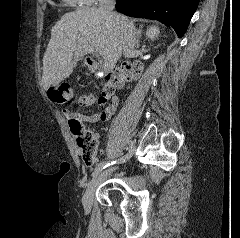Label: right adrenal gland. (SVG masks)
<instances>
[{"instance_id": "obj_1", "label": "right adrenal gland", "mask_w": 240, "mask_h": 238, "mask_svg": "<svg viewBox=\"0 0 240 238\" xmlns=\"http://www.w3.org/2000/svg\"><path fill=\"white\" fill-rule=\"evenodd\" d=\"M141 33H142V26H140V28L138 30H136V42H135L136 47L139 46Z\"/></svg>"}]
</instances>
